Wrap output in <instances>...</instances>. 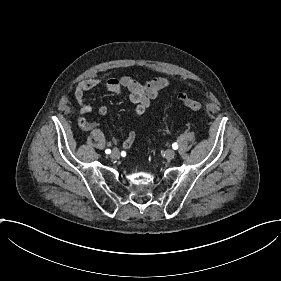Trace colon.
I'll return each instance as SVG.
<instances>
[{"label":"colon","instance_id":"1","mask_svg":"<svg viewBox=\"0 0 281 281\" xmlns=\"http://www.w3.org/2000/svg\"><path fill=\"white\" fill-rule=\"evenodd\" d=\"M181 102L184 104V107L192 112H202L204 105L203 102L197 98L189 97L186 94H180Z\"/></svg>","mask_w":281,"mask_h":281}]
</instances>
